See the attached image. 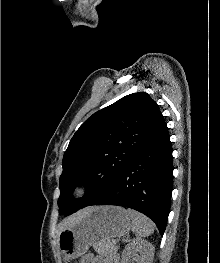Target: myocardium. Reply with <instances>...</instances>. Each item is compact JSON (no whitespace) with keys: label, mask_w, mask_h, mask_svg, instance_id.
Returning <instances> with one entry per match:
<instances>
[{"label":"myocardium","mask_w":220,"mask_h":263,"mask_svg":"<svg viewBox=\"0 0 220 263\" xmlns=\"http://www.w3.org/2000/svg\"><path fill=\"white\" fill-rule=\"evenodd\" d=\"M95 183L92 179L86 178L75 184L71 191L73 199H79L89 194L94 189Z\"/></svg>","instance_id":"f54148a6"}]
</instances>
